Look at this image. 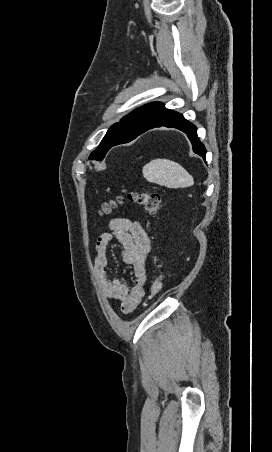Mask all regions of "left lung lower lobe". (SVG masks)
I'll list each match as a JSON object with an SVG mask.
<instances>
[{"instance_id":"obj_1","label":"left lung lower lobe","mask_w":272,"mask_h":452,"mask_svg":"<svg viewBox=\"0 0 272 452\" xmlns=\"http://www.w3.org/2000/svg\"><path fill=\"white\" fill-rule=\"evenodd\" d=\"M156 127L177 128L181 130L182 132L187 134L189 140L192 143L193 151L205 159L206 149L197 136V129L195 125L187 121L180 113L163 108V110L159 113V115L156 117L151 126L147 128L144 132ZM142 133H139L137 136H139ZM137 136L117 140L114 142L113 146L130 142Z\"/></svg>"}]
</instances>
